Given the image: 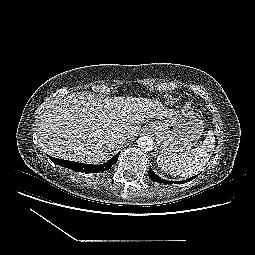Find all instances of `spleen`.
I'll list each match as a JSON object with an SVG mask.
<instances>
[{"label":"spleen","instance_id":"3e777b00","mask_svg":"<svg viewBox=\"0 0 255 255\" xmlns=\"http://www.w3.org/2000/svg\"><path fill=\"white\" fill-rule=\"evenodd\" d=\"M215 148V137L209 130L203 143L191 151L179 154L161 153L157 158L158 166L171 176L189 177L203 169Z\"/></svg>","mask_w":255,"mask_h":255}]
</instances>
